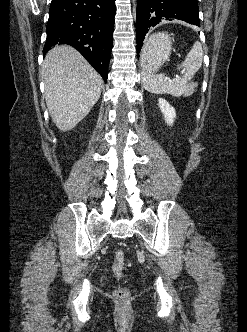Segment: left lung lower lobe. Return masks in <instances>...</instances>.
<instances>
[{"instance_id": "0a47b994", "label": "left lung lower lobe", "mask_w": 247, "mask_h": 332, "mask_svg": "<svg viewBox=\"0 0 247 332\" xmlns=\"http://www.w3.org/2000/svg\"><path fill=\"white\" fill-rule=\"evenodd\" d=\"M197 0H138L136 11L137 53L146 34L164 20H182L200 26Z\"/></svg>"}]
</instances>
